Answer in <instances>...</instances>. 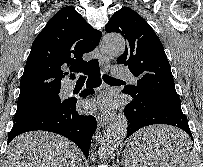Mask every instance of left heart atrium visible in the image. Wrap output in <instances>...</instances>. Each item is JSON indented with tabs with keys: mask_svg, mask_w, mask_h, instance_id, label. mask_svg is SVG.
Masks as SVG:
<instances>
[{
	"mask_svg": "<svg viewBox=\"0 0 203 167\" xmlns=\"http://www.w3.org/2000/svg\"><path fill=\"white\" fill-rule=\"evenodd\" d=\"M114 107V102L110 97L102 96L93 100L86 101L83 108L87 111H97L107 113Z\"/></svg>",
	"mask_w": 203,
	"mask_h": 167,
	"instance_id": "39dd6f15",
	"label": "left heart atrium"
}]
</instances>
